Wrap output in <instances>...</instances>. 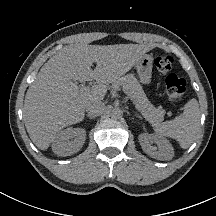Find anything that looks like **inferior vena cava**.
<instances>
[{
  "instance_id": "obj_1",
  "label": "inferior vena cava",
  "mask_w": 216,
  "mask_h": 216,
  "mask_svg": "<svg viewBox=\"0 0 216 216\" xmlns=\"http://www.w3.org/2000/svg\"><path fill=\"white\" fill-rule=\"evenodd\" d=\"M86 112L90 117L101 115L105 110V105L102 101L93 100L86 105Z\"/></svg>"
}]
</instances>
